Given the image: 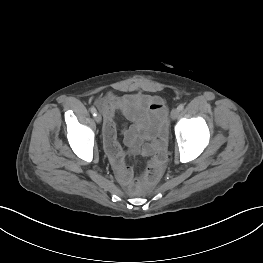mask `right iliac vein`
I'll return each mask as SVG.
<instances>
[{"instance_id":"right-iliac-vein-1","label":"right iliac vein","mask_w":263,"mask_h":263,"mask_svg":"<svg viewBox=\"0 0 263 263\" xmlns=\"http://www.w3.org/2000/svg\"><path fill=\"white\" fill-rule=\"evenodd\" d=\"M101 120H102L101 115H100L99 113H97V114L95 115V121H96L97 123H100Z\"/></svg>"}]
</instances>
